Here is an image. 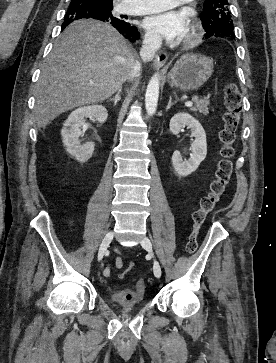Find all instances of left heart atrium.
Returning <instances> with one entry per match:
<instances>
[{
  "instance_id": "1",
  "label": "left heart atrium",
  "mask_w": 276,
  "mask_h": 363,
  "mask_svg": "<svg viewBox=\"0 0 276 363\" xmlns=\"http://www.w3.org/2000/svg\"><path fill=\"white\" fill-rule=\"evenodd\" d=\"M144 26L156 38L180 41L189 31V19L185 12L167 11L147 17Z\"/></svg>"
}]
</instances>
